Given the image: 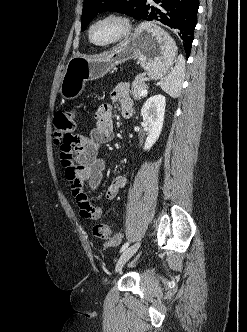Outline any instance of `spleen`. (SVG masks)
Here are the masks:
<instances>
[{"label":"spleen","instance_id":"spleen-1","mask_svg":"<svg viewBox=\"0 0 247 332\" xmlns=\"http://www.w3.org/2000/svg\"><path fill=\"white\" fill-rule=\"evenodd\" d=\"M185 76V59L179 55L176 65L160 83L161 89L173 98L180 96L182 81Z\"/></svg>","mask_w":247,"mask_h":332}]
</instances>
